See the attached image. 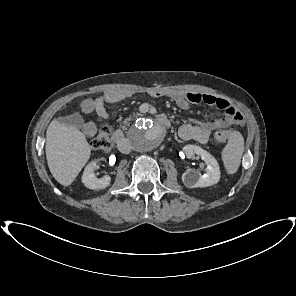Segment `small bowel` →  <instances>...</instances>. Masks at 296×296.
Returning <instances> with one entry per match:
<instances>
[{"mask_svg":"<svg viewBox=\"0 0 296 296\" xmlns=\"http://www.w3.org/2000/svg\"><path fill=\"white\" fill-rule=\"evenodd\" d=\"M130 92L124 90H112L105 94L98 96L93 100H87L83 103L82 109L89 112L95 109L101 117H106V104L122 101L130 97ZM156 96H166L173 100L177 106L182 109H188L193 105L206 104L214 106L223 112L219 118L209 121L192 120L190 123L182 125L179 129L178 135L182 140L195 141L205 144L209 141L212 132L216 129L225 128L228 125L242 124V114L227 100L218 98L209 94H201L197 92H178L171 91L166 93H156ZM82 130L87 137H92L96 132V126L93 122H84Z\"/></svg>","mask_w":296,"mask_h":296,"instance_id":"obj_1","label":"small bowel"}]
</instances>
